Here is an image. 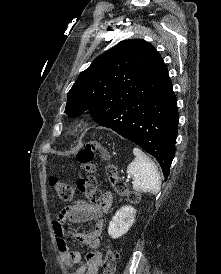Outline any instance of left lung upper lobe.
<instances>
[{"instance_id": "1", "label": "left lung upper lobe", "mask_w": 221, "mask_h": 274, "mask_svg": "<svg viewBox=\"0 0 221 274\" xmlns=\"http://www.w3.org/2000/svg\"><path fill=\"white\" fill-rule=\"evenodd\" d=\"M156 49L141 39L124 40L98 56L83 71L67 96L65 113L95 118L138 96L163 64Z\"/></svg>"}]
</instances>
